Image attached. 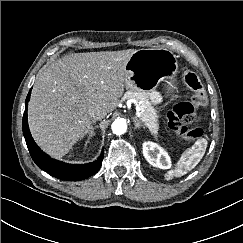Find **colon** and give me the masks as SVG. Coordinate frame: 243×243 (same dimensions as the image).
I'll use <instances>...</instances> for the list:
<instances>
[{
    "mask_svg": "<svg viewBox=\"0 0 243 243\" xmlns=\"http://www.w3.org/2000/svg\"><path fill=\"white\" fill-rule=\"evenodd\" d=\"M183 82L192 92L191 101L181 102L168 113L169 127L187 140L194 141L202 137L200 128H190L197 113V109L208 103L206 89L199 76L190 70L183 72Z\"/></svg>",
    "mask_w": 243,
    "mask_h": 243,
    "instance_id": "1",
    "label": "colon"
}]
</instances>
